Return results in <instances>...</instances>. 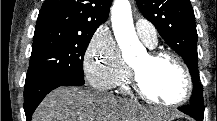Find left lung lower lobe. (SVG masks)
Wrapping results in <instances>:
<instances>
[{
	"label": "left lung lower lobe",
	"mask_w": 217,
	"mask_h": 121,
	"mask_svg": "<svg viewBox=\"0 0 217 121\" xmlns=\"http://www.w3.org/2000/svg\"><path fill=\"white\" fill-rule=\"evenodd\" d=\"M178 109L182 111L183 113L193 117L196 121H203V120H199V118L195 115L190 105L182 106V107H179Z\"/></svg>",
	"instance_id": "obj_1"
}]
</instances>
